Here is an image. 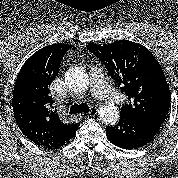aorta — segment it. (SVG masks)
<instances>
[{
  "mask_svg": "<svg viewBox=\"0 0 178 178\" xmlns=\"http://www.w3.org/2000/svg\"><path fill=\"white\" fill-rule=\"evenodd\" d=\"M69 89L82 93L89 87V78L86 71L81 67L71 68L65 76ZM100 120L106 125H115L119 119L118 109L112 104H105L99 109Z\"/></svg>",
  "mask_w": 178,
  "mask_h": 178,
  "instance_id": "aorta-1",
  "label": "aorta"
}]
</instances>
